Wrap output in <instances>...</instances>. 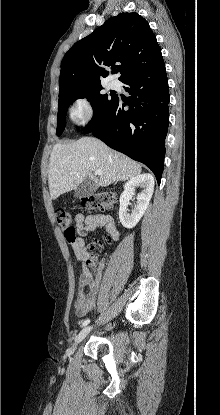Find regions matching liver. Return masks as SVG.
<instances>
[{"mask_svg": "<svg viewBox=\"0 0 220 415\" xmlns=\"http://www.w3.org/2000/svg\"><path fill=\"white\" fill-rule=\"evenodd\" d=\"M96 170L102 175L94 176ZM141 173V165L129 157L110 149L99 139L82 137L68 143H57L50 155L48 184L51 199L76 189L85 179L106 187L126 181Z\"/></svg>", "mask_w": 220, "mask_h": 415, "instance_id": "liver-1", "label": "liver"}]
</instances>
